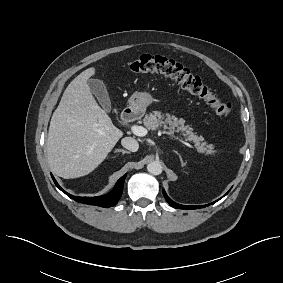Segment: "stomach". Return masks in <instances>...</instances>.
I'll return each instance as SVG.
<instances>
[{
  "label": "stomach",
  "instance_id": "1",
  "mask_svg": "<svg viewBox=\"0 0 283 283\" xmlns=\"http://www.w3.org/2000/svg\"><path fill=\"white\" fill-rule=\"evenodd\" d=\"M128 108L135 114L143 115L147 107L153 102V97L148 92H135L129 99Z\"/></svg>",
  "mask_w": 283,
  "mask_h": 283
}]
</instances>
